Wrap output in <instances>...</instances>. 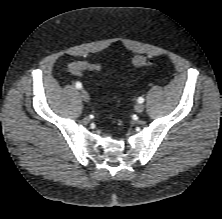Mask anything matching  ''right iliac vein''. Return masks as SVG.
Segmentation results:
<instances>
[{
  "label": "right iliac vein",
  "instance_id": "63e3f726",
  "mask_svg": "<svg viewBox=\"0 0 222 219\" xmlns=\"http://www.w3.org/2000/svg\"><path fill=\"white\" fill-rule=\"evenodd\" d=\"M80 95H81L83 101L89 102L90 96H89V94H88V92H87L86 90L81 89V90H80Z\"/></svg>",
  "mask_w": 222,
  "mask_h": 219
}]
</instances>
